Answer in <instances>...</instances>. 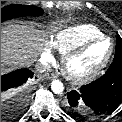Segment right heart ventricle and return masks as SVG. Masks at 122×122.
I'll return each instance as SVG.
<instances>
[{
    "label": "right heart ventricle",
    "instance_id": "1",
    "mask_svg": "<svg viewBox=\"0 0 122 122\" xmlns=\"http://www.w3.org/2000/svg\"><path fill=\"white\" fill-rule=\"evenodd\" d=\"M103 35L95 25H74L58 31L52 40V46L64 55L80 44Z\"/></svg>",
    "mask_w": 122,
    "mask_h": 122
}]
</instances>
